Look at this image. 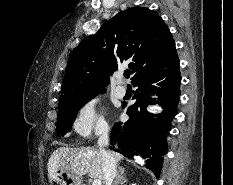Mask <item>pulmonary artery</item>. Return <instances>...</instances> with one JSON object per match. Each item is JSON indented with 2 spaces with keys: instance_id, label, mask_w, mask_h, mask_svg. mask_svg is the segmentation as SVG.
<instances>
[{
  "instance_id": "obj_1",
  "label": "pulmonary artery",
  "mask_w": 233,
  "mask_h": 185,
  "mask_svg": "<svg viewBox=\"0 0 233 185\" xmlns=\"http://www.w3.org/2000/svg\"><path fill=\"white\" fill-rule=\"evenodd\" d=\"M118 80L120 81V84L115 88V93L118 97L122 98L126 95V87L122 84V81L124 79V76L122 73L118 74Z\"/></svg>"
}]
</instances>
